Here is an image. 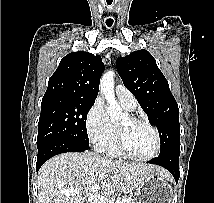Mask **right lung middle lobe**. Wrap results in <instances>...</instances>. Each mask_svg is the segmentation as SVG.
Listing matches in <instances>:
<instances>
[{"label": "right lung middle lobe", "mask_w": 214, "mask_h": 203, "mask_svg": "<svg viewBox=\"0 0 214 203\" xmlns=\"http://www.w3.org/2000/svg\"><path fill=\"white\" fill-rule=\"evenodd\" d=\"M94 102L66 98L43 99L37 147L52 140H65L89 146L86 118Z\"/></svg>", "instance_id": "right-lung-middle-lobe-1"}]
</instances>
